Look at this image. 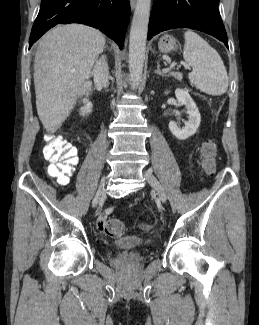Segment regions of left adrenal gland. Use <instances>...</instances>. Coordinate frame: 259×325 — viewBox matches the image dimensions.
Returning <instances> with one entry per match:
<instances>
[{
    "label": "left adrenal gland",
    "mask_w": 259,
    "mask_h": 325,
    "mask_svg": "<svg viewBox=\"0 0 259 325\" xmlns=\"http://www.w3.org/2000/svg\"><path fill=\"white\" fill-rule=\"evenodd\" d=\"M156 74L162 76V77H166L167 75L162 73L161 70H160V63L159 61L157 62V70L155 71Z\"/></svg>",
    "instance_id": "a2214340"
}]
</instances>
